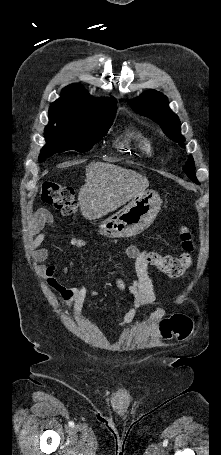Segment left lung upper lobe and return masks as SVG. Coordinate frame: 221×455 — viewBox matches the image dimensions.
Instances as JSON below:
<instances>
[{
  "mask_svg": "<svg viewBox=\"0 0 221 455\" xmlns=\"http://www.w3.org/2000/svg\"><path fill=\"white\" fill-rule=\"evenodd\" d=\"M130 105L136 113L157 122L170 139L183 146L185 139L180 132V120L168 107V99L165 95L156 90H150L132 100ZM183 170L191 180L198 183L192 156L189 157Z\"/></svg>",
  "mask_w": 221,
  "mask_h": 455,
  "instance_id": "1",
  "label": "left lung upper lobe"
}]
</instances>
